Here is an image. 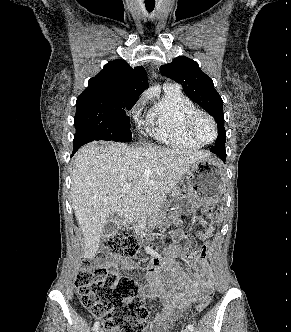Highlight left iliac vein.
<instances>
[{
    "label": "left iliac vein",
    "mask_w": 291,
    "mask_h": 332,
    "mask_svg": "<svg viewBox=\"0 0 291 332\" xmlns=\"http://www.w3.org/2000/svg\"><path fill=\"white\" fill-rule=\"evenodd\" d=\"M182 332H190V330L189 329H184V330H182Z\"/></svg>",
    "instance_id": "left-iliac-vein-1"
}]
</instances>
